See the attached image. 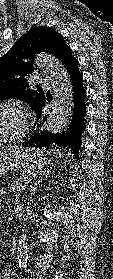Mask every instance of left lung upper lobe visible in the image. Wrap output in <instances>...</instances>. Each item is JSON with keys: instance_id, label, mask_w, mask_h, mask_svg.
<instances>
[{"instance_id": "obj_1", "label": "left lung upper lobe", "mask_w": 113, "mask_h": 279, "mask_svg": "<svg viewBox=\"0 0 113 279\" xmlns=\"http://www.w3.org/2000/svg\"><path fill=\"white\" fill-rule=\"evenodd\" d=\"M63 36L47 26L33 27L0 58V100L16 97L28 103L32 109L45 96L42 88L38 92L29 89L26 80L32 74L37 53L46 52L62 61L70 51Z\"/></svg>"}]
</instances>
